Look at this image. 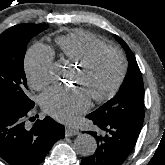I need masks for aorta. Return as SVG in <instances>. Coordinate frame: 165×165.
<instances>
[{"label":"aorta","mask_w":165,"mask_h":165,"mask_svg":"<svg viewBox=\"0 0 165 165\" xmlns=\"http://www.w3.org/2000/svg\"><path fill=\"white\" fill-rule=\"evenodd\" d=\"M60 74H61L60 66H55L52 69V75L55 78H59ZM74 147L78 154L82 156H90L95 153L97 148V143L93 136H91L90 134L82 133L76 137L74 141Z\"/></svg>","instance_id":"1"}]
</instances>
